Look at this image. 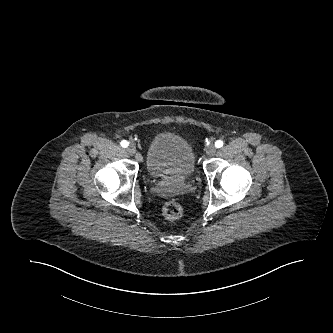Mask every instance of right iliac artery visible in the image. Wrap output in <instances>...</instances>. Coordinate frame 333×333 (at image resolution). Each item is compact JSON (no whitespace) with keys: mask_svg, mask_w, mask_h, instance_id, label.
<instances>
[{"mask_svg":"<svg viewBox=\"0 0 333 333\" xmlns=\"http://www.w3.org/2000/svg\"><path fill=\"white\" fill-rule=\"evenodd\" d=\"M120 145L123 147V148H126L128 146V142L126 140H122L120 142Z\"/></svg>","mask_w":333,"mask_h":333,"instance_id":"82829eb1","label":"right iliac artery"}]
</instances>
